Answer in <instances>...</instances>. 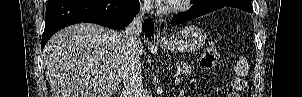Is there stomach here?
Instances as JSON below:
<instances>
[{"label": "stomach", "instance_id": "stomach-1", "mask_svg": "<svg viewBox=\"0 0 302 97\" xmlns=\"http://www.w3.org/2000/svg\"><path fill=\"white\" fill-rule=\"evenodd\" d=\"M206 43V33L196 26L182 28L166 41L159 43L164 50L192 53L200 50Z\"/></svg>", "mask_w": 302, "mask_h": 97}]
</instances>
